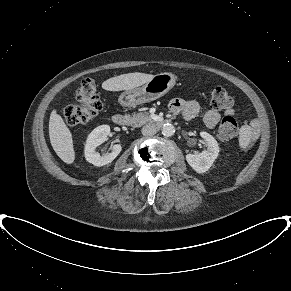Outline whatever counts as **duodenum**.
<instances>
[{"instance_id":"1","label":"duodenum","mask_w":291,"mask_h":291,"mask_svg":"<svg viewBox=\"0 0 291 291\" xmlns=\"http://www.w3.org/2000/svg\"><path fill=\"white\" fill-rule=\"evenodd\" d=\"M113 121L114 123H116L119 126H127L130 123V119L127 115L124 114H115L113 116ZM168 122V120H161L157 122L158 126H162L164 124H166Z\"/></svg>"}]
</instances>
